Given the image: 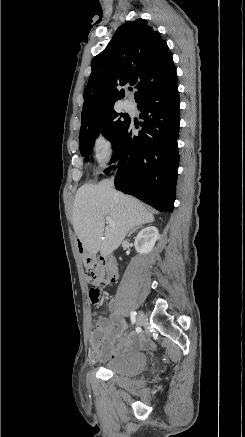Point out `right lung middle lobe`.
Returning <instances> with one entry per match:
<instances>
[{
  "label": "right lung middle lobe",
  "instance_id": "dd1d6c3e",
  "mask_svg": "<svg viewBox=\"0 0 245 437\" xmlns=\"http://www.w3.org/2000/svg\"><path fill=\"white\" fill-rule=\"evenodd\" d=\"M118 116L119 113L114 108H111L100 114L93 121L81 126L79 134L80 152L82 156L86 157V161L89 160L92 146L100 133L106 135L110 139L113 148L115 147L124 128L130 121L129 118L121 120Z\"/></svg>",
  "mask_w": 245,
  "mask_h": 437
}]
</instances>
